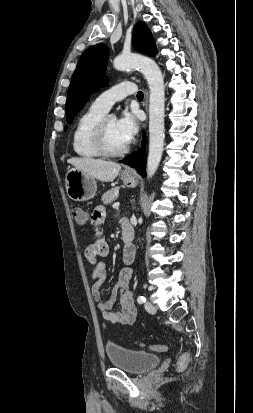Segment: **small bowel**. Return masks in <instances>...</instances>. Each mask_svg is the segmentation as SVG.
<instances>
[{"label": "small bowel", "mask_w": 253, "mask_h": 413, "mask_svg": "<svg viewBox=\"0 0 253 413\" xmlns=\"http://www.w3.org/2000/svg\"><path fill=\"white\" fill-rule=\"evenodd\" d=\"M106 217V211L103 206L95 208L90 217L91 232L95 238V242L88 245L85 250V257L92 265V296L97 303V308L100 311L102 318L109 324L131 325L134 323L137 310L134 303L133 292L130 289V281L132 277L131 263L134 260V249L127 246L123 252V261L125 267L122 268L119 278L115 283L111 294L106 300L102 299L100 288L106 278V265L102 260L109 253V245L104 239L101 230V224ZM118 298L117 312H112L111 308Z\"/></svg>", "instance_id": "small-bowel-1"}]
</instances>
